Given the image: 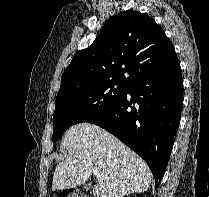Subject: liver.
<instances>
[{
  "label": "liver",
  "instance_id": "liver-1",
  "mask_svg": "<svg viewBox=\"0 0 209 197\" xmlns=\"http://www.w3.org/2000/svg\"><path fill=\"white\" fill-rule=\"evenodd\" d=\"M68 156L56 167L52 190L83 184L98 169L95 197H123L148 190L152 174L135 152L106 130L90 123L70 127L61 142Z\"/></svg>",
  "mask_w": 209,
  "mask_h": 197
}]
</instances>
